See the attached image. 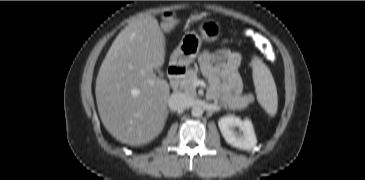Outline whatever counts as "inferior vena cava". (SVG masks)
<instances>
[{"label":"inferior vena cava","mask_w":365,"mask_h":180,"mask_svg":"<svg viewBox=\"0 0 365 180\" xmlns=\"http://www.w3.org/2000/svg\"><path fill=\"white\" fill-rule=\"evenodd\" d=\"M171 110H182L190 106V98L183 93H174L168 99Z\"/></svg>","instance_id":"602c4592"}]
</instances>
